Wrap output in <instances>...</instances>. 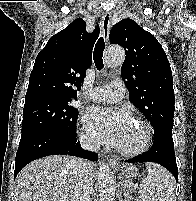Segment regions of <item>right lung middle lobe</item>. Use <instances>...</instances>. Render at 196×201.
Returning a JSON list of instances; mask_svg holds the SVG:
<instances>
[{
  "mask_svg": "<svg viewBox=\"0 0 196 201\" xmlns=\"http://www.w3.org/2000/svg\"><path fill=\"white\" fill-rule=\"evenodd\" d=\"M70 100L37 97L26 99L23 109L22 133L35 129H49L66 134L76 131L78 110Z\"/></svg>",
  "mask_w": 196,
  "mask_h": 201,
  "instance_id": "right-lung-middle-lobe-1",
  "label": "right lung middle lobe"
}]
</instances>
